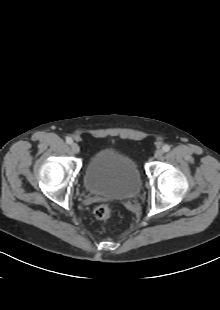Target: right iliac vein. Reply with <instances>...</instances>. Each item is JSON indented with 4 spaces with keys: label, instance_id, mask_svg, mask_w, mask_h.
Segmentation results:
<instances>
[{
    "label": "right iliac vein",
    "instance_id": "right-iliac-vein-1",
    "mask_svg": "<svg viewBox=\"0 0 220 310\" xmlns=\"http://www.w3.org/2000/svg\"><path fill=\"white\" fill-rule=\"evenodd\" d=\"M71 149H72V152L75 154H78L80 152V147L77 143H72Z\"/></svg>",
    "mask_w": 220,
    "mask_h": 310
}]
</instances>
